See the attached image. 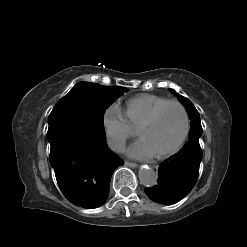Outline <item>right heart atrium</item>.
<instances>
[{"label": "right heart atrium", "mask_w": 247, "mask_h": 247, "mask_svg": "<svg viewBox=\"0 0 247 247\" xmlns=\"http://www.w3.org/2000/svg\"><path fill=\"white\" fill-rule=\"evenodd\" d=\"M102 124L109 147L116 152L122 151L134 132L125 114L118 106L112 105L105 110Z\"/></svg>", "instance_id": "obj_1"}]
</instances>
